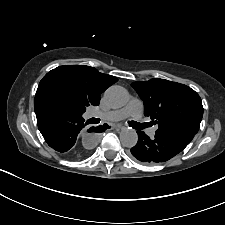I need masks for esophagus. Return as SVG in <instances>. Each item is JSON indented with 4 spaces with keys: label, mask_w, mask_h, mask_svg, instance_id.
I'll return each instance as SVG.
<instances>
[{
    "label": "esophagus",
    "mask_w": 225,
    "mask_h": 225,
    "mask_svg": "<svg viewBox=\"0 0 225 225\" xmlns=\"http://www.w3.org/2000/svg\"><path fill=\"white\" fill-rule=\"evenodd\" d=\"M112 127H113L114 129H116V130H120V129L123 128V126L120 125V124L113 125Z\"/></svg>",
    "instance_id": "34e87169"
}]
</instances>
